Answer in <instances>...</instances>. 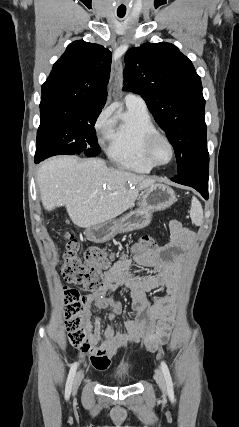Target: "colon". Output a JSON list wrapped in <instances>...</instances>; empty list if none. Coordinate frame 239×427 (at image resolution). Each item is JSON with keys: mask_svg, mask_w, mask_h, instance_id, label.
Returning a JSON list of instances; mask_svg holds the SVG:
<instances>
[{"mask_svg": "<svg viewBox=\"0 0 239 427\" xmlns=\"http://www.w3.org/2000/svg\"><path fill=\"white\" fill-rule=\"evenodd\" d=\"M67 248L64 254L62 276L66 283L77 284L80 288L65 287L64 315L70 343L83 352L91 348L89 341L90 300L83 291H94L103 283V271L110 265L112 256L106 251L91 247H82L71 234H66ZM156 241L150 235L142 236L135 245L139 252H152ZM83 251V259L80 253Z\"/></svg>", "mask_w": 239, "mask_h": 427, "instance_id": "1", "label": "colon"}]
</instances>
